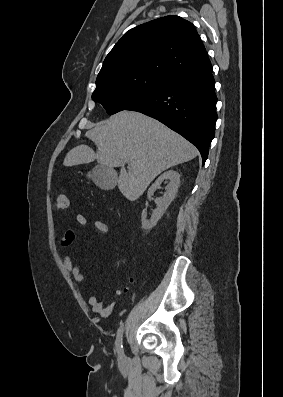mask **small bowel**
<instances>
[{"instance_id":"c3829d8e","label":"small bowel","mask_w":283,"mask_h":397,"mask_svg":"<svg viewBox=\"0 0 283 397\" xmlns=\"http://www.w3.org/2000/svg\"><path fill=\"white\" fill-rule=\"evenodd\" d=\"M76 222L79 226L83 227L87 224V218L83 214H77ZM94 226L101 234H107L109 231L108 225L102 220H95ZM74 240L75 232L73 229L68 228L61 237L60 244L63 247H68L74 242ZM63 263L65 269L72 274L74 280L77 283H83L85 281V277L81 271L80 266L74 263L73 258L70 254L65 255ZM126 291V289L120 290L119 293H125ZM87 303L91 307L92 311L102 318L109 317L113 313L115 308V305L113 303L104 305V302L100 300L96 295H89L87 297Z\"/></svg>"}]
</instances>
